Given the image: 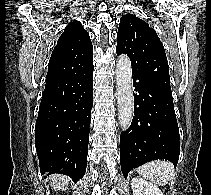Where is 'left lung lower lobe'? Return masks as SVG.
Masks as SVG:
<instances>
[{
    "label": "left lung lower lobe",
    "instance_id": "obj_1",
    "mask_svg": "<svg viewBox=\"0 0 211 195\" xmlns=\"http://www.w3.org/2000/svg\"><path fill=\"white\" fill-rule=\"evenodd\" d=\"M134 117L120 136L123 176L135 167L156 159L177 165L180 154L179 129L172 95L142 75L132 73Z\"/></svg>",
    "mask_w": 211,
    "mask_h": 195
}]
</instances>
